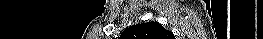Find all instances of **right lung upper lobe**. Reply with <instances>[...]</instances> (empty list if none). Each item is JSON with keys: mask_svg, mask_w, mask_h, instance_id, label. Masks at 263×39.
<instances>
[{"mask_svg": "<svg viewBox=\"0 0 263 39\" xmlns=\"http://www.w3.org/2000/svg\"><path fill=\"white\" fill-rule=\"evenodd\" d=\"M122 35L135 39H173V34L158 22H147L127 28Z\"/></svg>", "mask_w": 263, "mask_h": 39, "instance_id": "1", "label": "right lung upper lobe"}]
</instances>
